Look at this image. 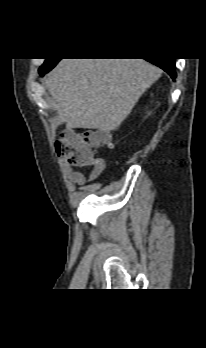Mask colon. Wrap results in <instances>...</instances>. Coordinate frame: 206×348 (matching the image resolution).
I'll return each instance as SVG.
<instances>
[{"label":"colon","instance_id":"5ec220e1","mask_svg":"<svg viewBox=\"0 0 206 348\" xmlns=\"http://www.w3.org/2000/svg\"><path fill=\"white\" fill-rule=\"evenodd\" d=\"M110 145V135L104 130L67 131L55 144L56 154L71 166H84L96 161L94 150Z\"/></svg>","mask_w":206,"mask_h":348}]
</instances>
